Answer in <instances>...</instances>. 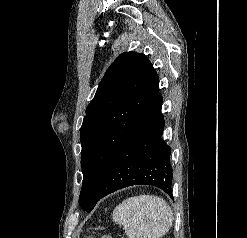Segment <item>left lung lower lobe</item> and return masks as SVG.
<instances>
[{"label": "left lung lower lobe", "mask_w": 247, "mask_h": 238, "mask_svg": "<svg viewBox=\"0 0 247 238\" xmlns=\"http://www.w3.org/2000/svg\"><path fill=\"white\" fill-rule=\"evenodd\" d=\"M162 95L115 155L101 181L98 200L127 186L149 184L172 195L170 147L162 140Z\"/></svg>", "instance_id": "left-lung-lower-lobe-1"}]
</instances>
